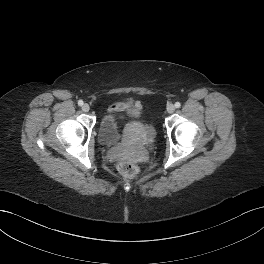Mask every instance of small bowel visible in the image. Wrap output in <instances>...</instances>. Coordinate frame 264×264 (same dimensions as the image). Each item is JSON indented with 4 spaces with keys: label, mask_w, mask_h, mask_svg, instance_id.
I'll list each match as a JSON object with an SVG mask.
<instances>
[{
    "label": "small bowel",
    "mask_w": 264,
    "mask_h": 264,
    "mask_svg": "<svg viewBox=\"0 0 264 264\" xmlns=\"http://www.w3.org/2000/svg\"><path fill=\"white\" fill-rule=\"evenodd\" d=\"M132 108H137L141 110V105L139 102H135L133 106L126 104V103H116L113 106L110 107L109 111L110 113L114 115H122L128 111H130Z\"/></svg>",
    "instance_id": "obj_1"
}]
</instances>
